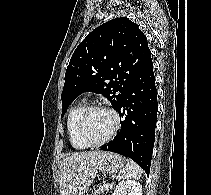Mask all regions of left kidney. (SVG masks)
I'll list each match as a JSON object with an SVG mask.
<instances>
[{
    "label": "left kidney",
    "mask_w": 211,
    "mask_h": 195,
    "mask_svg": "<svg viewBox=\"0 0 211 195\" xmlns=\"http://www.w3.org/2000/svg\"><path fill=\"white\" fill-rule=\"evenodd\" d=\"M112 195H142V186L133 180H123L116 186Z\"/></svg>",
    "instance_id": "left-kidney-1"
}]
</instances>
